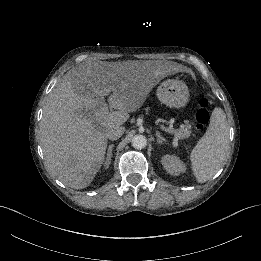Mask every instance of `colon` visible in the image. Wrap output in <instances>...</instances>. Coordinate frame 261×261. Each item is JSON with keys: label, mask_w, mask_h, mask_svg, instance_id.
Instances as JSON below:
<instances>
[{"label": "colon", "mask_w": 261, "mask_h": 261, "mask_svg": "<svg viewBox=\"0 0 261 261\" xmlns=\"http://www.w3.org/2000/svg\"><path fill=\"white\" fill-rule=\"evenodd\" d=\"M189 117L194 124L195 129H203L209 121L210 113L208 111L209 100L205 97L190 100Z\"/></svg>", "instance_id": "obj_1"}]
</instances>
